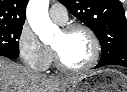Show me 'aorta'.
I'll return each mask as SVG.
<instances>
[{
	"label": "aorta",
	"mask_w": 127,
	"mask_h": 92,
	"mask_svg": "<svg viewBox=\"0 0 127 92\" xmlns=\"http://www.w3.org/2000/svg\"><path fill=\"white\" fill-rule=\"evenodd\" d=\"M48 8L49 0H30L26 9L28 23L43 43H49L58 31L49 18Z\"/></svg>",
	"instance_id": "aorta-1"
}]
</instances>
